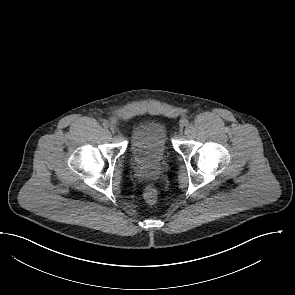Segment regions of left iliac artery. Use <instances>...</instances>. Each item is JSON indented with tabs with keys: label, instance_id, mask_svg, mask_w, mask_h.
Masks as SVG:
<instances>
[{
	"label": "left iliac artery",
	"instance_id": "obj_1",
	"mask_svg": "<svg viewBox=\"0 0 295 295\" xmlns=\"http://www.w3.org/2000/svg\"><path fill=\"white\" fill-rule=\"evenodd\" d=\"M182 123L184 124V126H188L189 125V121L188 120H184Z\"/></svg>",
	"mask_w": 295,
	"mask_h": 295
}]
</instances>
